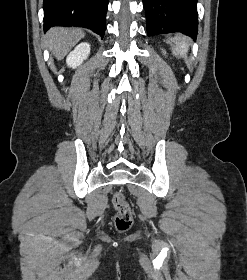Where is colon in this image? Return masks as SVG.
I'll return each instance as SVG.
<instances>
[{
  "instance_id": "colon-1",
  "label": "colon",
  "mask_w": 247,
  "mask_h": 280,
  "mask_svg": "<svg viewBox=\"0 0 247 280\" xmlns=\"http://www.w3.org/2000/svg\"><path fill=\"white\" fill-rule=\"evenodd\" d=\"M113 206L116 210L115 226L118 231H125L132 224V212L123 192L113 196Z\"/></svg>"
}]
</instances>
